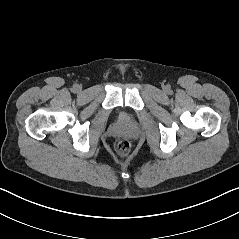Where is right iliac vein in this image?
I'll return each mask as SVG.
<instances>
[{"label": "right iliac vein", "mask_w": 239, "mask_h": 239, "mask_svg": "<svg viewBox=\"0 0 239 239\" xmlns=\"http://www.w3.org/2000/svg\"><path fill=\"white\" fill-rule=\"evenodd\" d=\"M77 90H80V87H77Z\"/></svg>", "instance_id": "1"}]
</instances>
